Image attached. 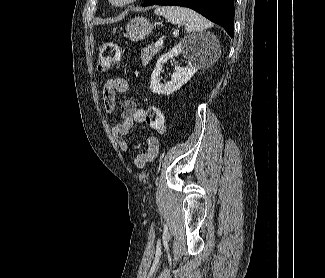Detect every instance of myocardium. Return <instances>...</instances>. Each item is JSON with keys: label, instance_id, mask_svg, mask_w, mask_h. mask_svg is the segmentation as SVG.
<instances>
[{"label": "myocardium", "instance_id": "myocardium-1", "mask_svg": "<svg viewBox=\"0 0 325 278\" xmlns=\"http://www.w3.org/2000/svg\"><path fill=\"white\" fill-rule=\"evenodd\" d=\"M137 0H122V1H117V0H109V3L117 8H123V7H127L131 4H133L134 2H136Z\"/></svg>", "mask_w": 325, "mask_h": 278}]
</instances>
